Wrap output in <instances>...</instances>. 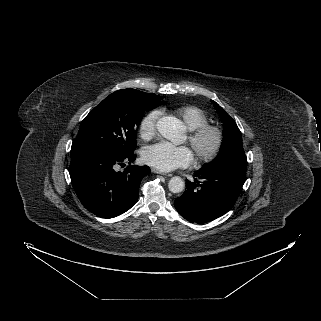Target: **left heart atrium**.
Segmentation results:
<instances>
[{
  "label": "left heart atrium",
  "instance_id": "39dd6f15",
  "mask_svg": "<svg viewBox=\"0 0 321 321\" xmlns=\"http://www.w3.org/2000/svg\"><path fill=\"white\" fill-rule=\"evenodd\" d=\"M144 161L162 171L185 167L193 162V154L185 146H174L161 142L147 147L143 152Z\"/></svg>",
  "mask_w": 321,
  "mask_h": 321
}]
</instances>
